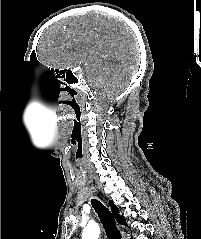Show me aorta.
Here are the masks:
<instances>
[{"label":"aorta","mask_w":201,"mask_h":239,"mask_svg":"<svg viewBox=\"0 0 201 239\" xmlns=\"http://www.w3.org/2000/svg\"><path fill=\"white\" fill-rule=\"evenodd\" d=\"M100 228L97 224H89L85 227L82 233V239H98Z\"/></svg>","instance_id":"762f6f07"}]
</instances>
